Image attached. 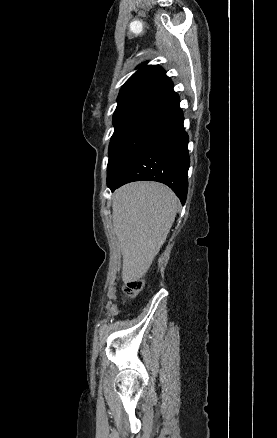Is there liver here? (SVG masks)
<instances>
[{"label": "liver", "instance_id": "6515ba94", "mask_svg": "<svg viewBox=\"0 0 277 438\" xmlns=\"http://www.w3.org/2000/svg\"><path fill=\"white\" fill-rule=\"evenodd\" d=\"M178 198L157 182H133L116 190L112 220L123 256L124 284L149 270L176 218Z\"/></svg>", "mask_w": 277, "mask_h": 438}]
</instances>
